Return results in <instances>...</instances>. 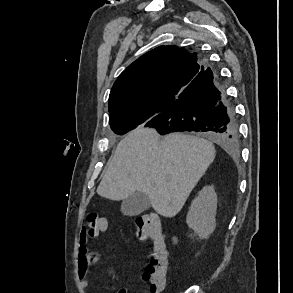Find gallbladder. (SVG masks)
<instances>
[{"instance_id":"obj_1","label":"gallbladder","mask_w":293,"mask_h":293,"mask_svg":"<svg viewBox=\"0 0 293 293\" xmlns=\"http://www.w3.org/2000/svg\"><path fill=\"white\" fill-rule=\"evenodd\" d=\"M151 201L149 197L142 192H135L121 204V212L126 216H136L149 209Z\"/></svg>"}]
</instances>
